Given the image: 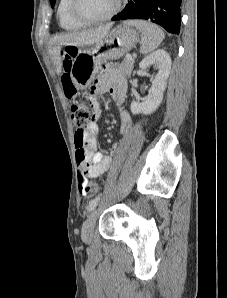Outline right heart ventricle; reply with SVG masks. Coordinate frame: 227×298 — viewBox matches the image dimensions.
Listing matches in <instances>:
<instances>
[{
    "label": "right heart ventricle",
    "mask_w": 227,
    "mask_h": 298,
    "mask_svg": "<svg viewBox=\"0 0 227 298\" xmlns=\"http://www.w3.org/2000/svg\"><path fill=\"white\" fill-rule=\"evenodd\" d=\"M71 0H60L57 7V16L60 26L68 31L78 30L84 25L77 22L70 14Z\"/></svg>",
    "instance_id": "1"
}]
</instances>
